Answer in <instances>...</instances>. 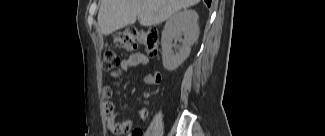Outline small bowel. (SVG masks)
<instances>
[{"label": "small bowel", "instance_id": "c3829d8e", "mask_svg": "<svg viewBox=\"0 0 325 136\" xmlns=\"http://www.w3.org/2000/svg\"><path fill=\"white\" fill-rule=\"evenodd\" d=\"M148 63H149L148 57L143 53L137 52L131 54L128 58L121 60L117 69L112 71L109 76L112 79H115L120 77L124 73L131 71L132 69L147 66ZM145 82L148 85H158L161 82L160 73L154 71L147 74L145 77ZM104 94L106 97L110 98L112 96V90L110 88H105ZM105 112H106L107 128L112 134L120 135V134L128 133L132 130L131 121L129 120H124L121 122L117 121L118 113L113 103L107 102L105 104ZM137 114L140 118L144 119L148 115V110L145 107H140L137 109Z\"/></svg>", "mask_w": 325, "mask_h": 136}]
</instances>
